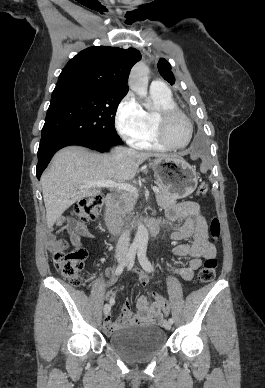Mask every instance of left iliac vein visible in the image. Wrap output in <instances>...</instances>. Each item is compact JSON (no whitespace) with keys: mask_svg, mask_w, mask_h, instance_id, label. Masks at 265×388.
Instances as JSON below:
<instances>
[{"mask_svg":"<svg viewBox=\"0 0 265 388\" xmlns=\"http://www.w3.org/2000/svg\"><path fill=\"white\" fill-rule=\"evenodd\" d=\"M129 266H130V265H129ZM171 326H172V324H171L169 321L164 320V322H163V327H164L166 330H170V329H171Z\"/></svg>","mask_w":265,"mask_h":388,"instance_id":"1","label":"left iliac vein"}]
</instances>
